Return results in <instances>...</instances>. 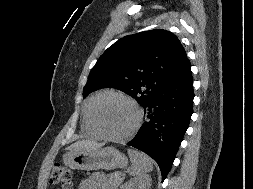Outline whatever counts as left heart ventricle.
<instances>
[{
    "label": "left heart ventricle",
    "mask_w": 253,
    "mask_h": 189,
    "mask_svg": "<svg viewBox=\"0 0 253 189\" xmlns=\"http://www.w3.org/2000/svg\"><path fill=\"white\" fill-rule=\"evenodd\" d=\"M96 117L109 134L121 136L133 127L135 110L127 102L117 97H105L96 106Z\"/></svg>",
    "instance_id": "b2bd125f"
}]
</instances>
